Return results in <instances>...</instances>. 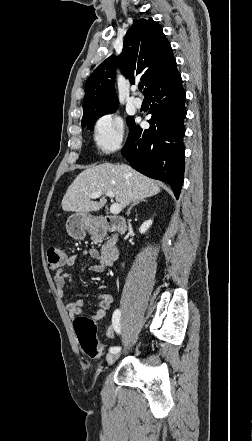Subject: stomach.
<instances>
[{
  "label": "stomach",
  "mask_w": 252,
  "mask_h": 441,
  "mask_svg": "<svg viewBox=\"0 0 252 441\" xmlns=\"http://www.w3.org/2000/svg\"><path fill=\"white\" fill-rule=\"evenodd\" d=\"M95 227V219L85 213L76 212L72 214L66 222L68 234L76 240L84 239L87 232H94Z\"/></svg>",
  "instance_id": "0dacf381"
}]
</instances>
